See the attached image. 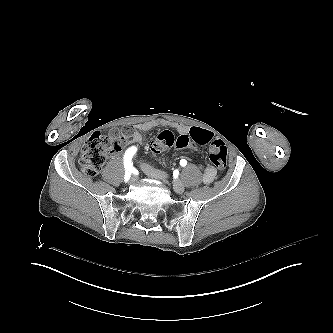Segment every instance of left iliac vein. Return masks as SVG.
<instances>
[{
    "mask_svg": "<svg viewBox=\"0 0 333 333\" xmlns=\"http://www.w3.org/2000/svg\"><path fill=\"white\" fill-rule=\"evenodd\" d=\"M141 169L146 175H149V176H156L157 178H160V179H164L166 177V175L164 173L158 172L157 174H155L146 164H143V163L141 164ZM173 188H174V191L178 194H181L184 191V185L182 184V182L180 180L174 181Z\"/></svg>",
    "mask_w": 333,
    "mask_h": 333,
    "instance_id": "4c4485c4",
    "label": "left iliac vein"
}]
</instances>
